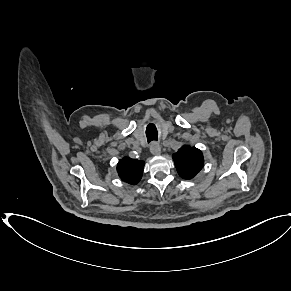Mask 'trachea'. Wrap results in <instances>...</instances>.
<instances>
[{"mask_svg":"<svg viewBox=\"0 0 291 291\" xmlns=\"http://www.w3.org/2000/svg\"><path fill=\"white\" fill-rule=\"evenodd\" d=\"M146 136H147V140L148 142H151L153 140H157L158 136H157V131L147 128L146 130Z\"/></svg>","mask_w":291,"mask_h":291,"instance_id":"1","label":"trachea"}]
</instances>
